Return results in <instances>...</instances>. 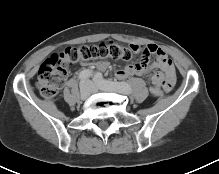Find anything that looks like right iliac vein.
I'll use <instances>...</instances> for the list:
<instances>
[{"label":"right iliac vein","mask_w":219,"mask_h":174,"mask_svg":"<svg viewBox=\"0 0 219 174\" xmlns=\"http://www.w3.org/2000/svg\"><path fill=\"white\" fill-rule=\"evenodd\" d=\"M91 95V86L88 83L82 84L80 87V98L86 100Z\"/></svg>","instance_id":"obj_1"}]
</instances>
